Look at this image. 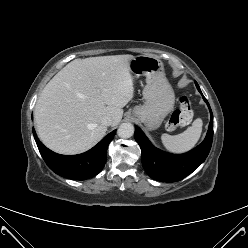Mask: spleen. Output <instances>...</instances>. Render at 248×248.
<instances>
[{
  "mask_svg": "<svg viewBox=\"0 0 248 248\" xmlns=\"http://www.w3.org/2000/svg\"><path fill=\"white\" fill-rule=\"evenodd\" d=\"M203 122L200 118L194 120L192 126L177 135L163 134L161 136L164 147L173 153H183L192 149L198 142L202 132Z\"/></svg>",
  "mask_w": 248,
  "mask_h": 248,
  "instance_id": "3e777b00",
  "label": "spleen"
}]
</instances>
